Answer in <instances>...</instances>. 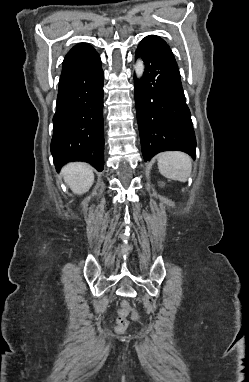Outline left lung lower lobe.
<instances>
[{"instance_id":"1","label":"left lung lower lobe","mask_w":249,"mask_h":382,"mask_svg":"<svg viewBox=\"0 0 249 382\" xmlns=\"http://www.w3.org/2000/svg\"><path fill=\"white\" fill-rule=\"evenodd\" d=\"M141 57L145 71L135 77L137 121L144 160L155 154L179 150L195 158L196 138L172 51L150 37L141 40L135 58Z\"/></svg>"}]
</instances>
